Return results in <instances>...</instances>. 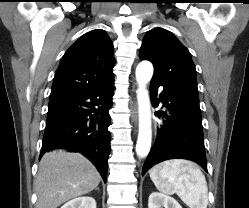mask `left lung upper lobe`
<instances>
[{
    "instance_id": "left-lung-upper-lobe-1",
    "label": "left lung upper lobe",
    "mask_w": 249,
    "mask_h": 208,
    "mask_svg": "<svg viewBox=\"0 0 249 208\" xmlns=\"http://www.w3.org/2000/svg\"><path fill=\"white\" fill-rule=\"evenodd\" d=\"M139 58L153 63V78L199 100L196 69L190 53L169 31L162 28L148 31Z\"/></svg>"
}]
</instances>
